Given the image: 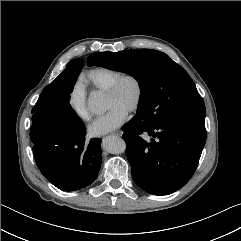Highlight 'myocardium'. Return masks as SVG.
Segmentation results:
<instances>
[{"label": "myocardium", "instance_id": "obj_1", "mask_svg": "<svg viewBox=\"0 0 241 241\" xmlns=\"http://www.w3.org/2000/svg\"><path fill=\"white\" fill-rule=\"evenodd\" d=\"M126 80H132L136 85V91H137L136 98H135L134 103L128 110L129 113H134L140 108V106L143 102V98H144V85H143L141 78L138 75H136L134 73L121 74L110 84V86L105 91V94L106 95H115L118 92L122 83Z\"/></svg>", "mask_w": 241, "mask_h": 241}]
</instances>
